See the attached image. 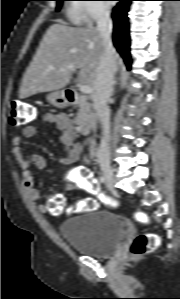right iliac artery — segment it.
<instances>
[{
	"instance_id": "obj_1",
	"label": "right iliac artery",
	"mask_w": 180,
	"mask_h": 299,
	"mask_svg": "<svg viewBox=\"0 0 180 299\" xmlns=\"http://www.w3.org/2000/svg\"><path fill=\"white\" fill-rule=\"evenodd\" d=\"M99 180H100L101 183H104L105 182V177L104 176H100Z\"/></svg>"
}]
</instances>
